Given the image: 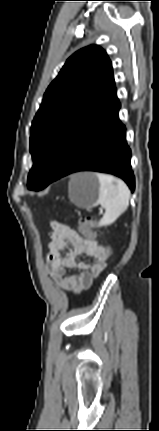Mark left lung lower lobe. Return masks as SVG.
Instances as JSON below:
<instances>
[{
    "label": "left lung lower lobe",
    "mask_w": 159,
    "mask_h": 431,
    "mask_svg": "<svg viewBox=\"0 0 159 431\" xmlns=\"http://www.w3.org/2000/svg\"><path fill=\"white\" fill-rule=\"evenodd\" d=\"M119 109L120 102L116 97L103 112L78 131L51 182L74 172L97 171L122 178L134 191L131 149L126 142V128L119 120Z\"/></svg>",
    "instance_id": "0a47b994"
}]
</instances>
